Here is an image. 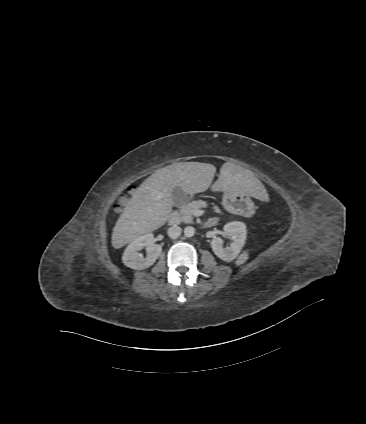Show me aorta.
Masks as SVG:
<instances>
[{
  "mask_svg": "<svg viewBox=\"0 0 366 424\" xmlns=\"http://www.w3.org/2000/svg\"><path fill=\"white\" fill-rule=\"evenodd\" d=\"M194 234H195V228L194 227H192V226L185 227V229H184V235L186 237H189V238L190 237H193Z\"/></svg>",
  "mask_w": 366,
  "mask_h": 424,
  "instance_id": "obj_1",
  "label": "aorta"
}]
</instances>
